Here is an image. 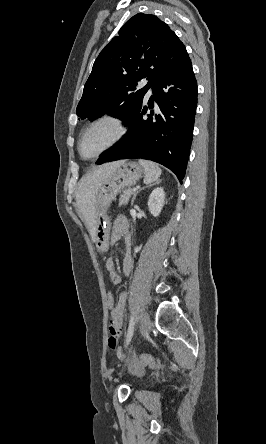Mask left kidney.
<instances>
[{
    "instance_id": "1",
    "label": "left kidney",
    "mask_w": 266,
    "mask_h": 444,
    "mask_svg": "<svg viewBox=\"0 0 266 444\" xmlns=\"http://www.w3.org/2000/svg\"><path fill=\"white\" fill-rule=\"evenodd\" d=\"M164 200L165 192L163 188L157 187L151 192L148 200V208L153 216H158L160 214L165 203Z\"/></svg>"
}]
</instances>
